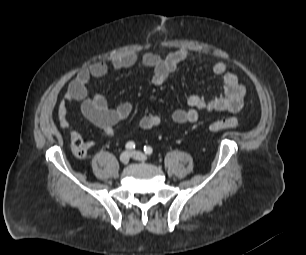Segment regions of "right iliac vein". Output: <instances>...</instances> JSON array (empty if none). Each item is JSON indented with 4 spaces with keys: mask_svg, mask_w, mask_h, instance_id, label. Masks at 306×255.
<instances>
[{
    "mask_svg": "<svg viewBox=\"0 0 306 255\" xmlns=\"http://www.w3.org/2000/svg\"><path fill=\"white\" fill-rule=\"evenodd\" d=\"M119 160H120L121 163L127 164L130 160L129 152L125 151V152L121 153V155L119 157Z\"/></svg>",
    "mask_w": 306,
    "mask_h": 255,
    "instance_id": "obj_1",
    "label": "right iliac vein"
}]
</instances>
